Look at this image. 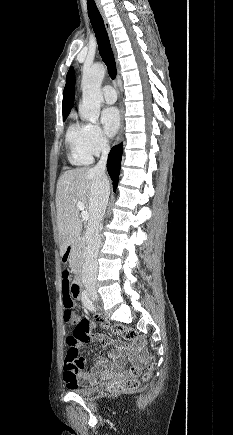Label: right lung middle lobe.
Listing matches in <instances>:
<instances>
[{"mask_svg": "<svg viewBox=\"0 0 233 435\" xmlns=\"http://www.w3.org/2000/svg\"><path fill=\"white\" fill-rule=\"evenodd\" d=\"M67 116H68V115H64V116H63V120H65Z\"/></svg>", "mask_w": 233, "mask_h": 435, "instance_id": "1", "label": "right lung middle lobe"}]
</instances>
